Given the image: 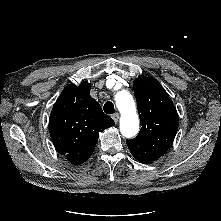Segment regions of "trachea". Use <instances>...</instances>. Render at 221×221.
<instances>
[{"mask_svg": "<svg viewBox=\"0 0 221 221\" xmlns=\"http://www.w3.org/2000/svg\"><path fill=\"white\" fill-rule=\"evenodd\" d=\"M103 109H104V112L107 114H114L115 113V108H114V105L111 101H107L104 104Z\"/></svg>", "mask_w": 221, "mask_h": 221, "instance_id": "trachea-1", "label": "trachea"}]
</instances>
